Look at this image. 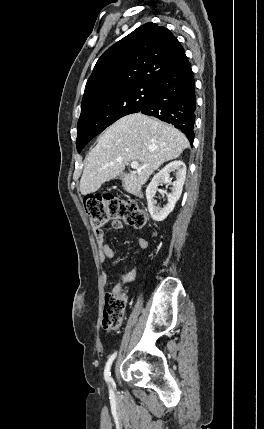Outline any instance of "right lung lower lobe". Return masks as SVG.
<instances>
[{
	"label": "right lung lower lobe",
	"instance_id": "obj_1",
	"mask_svg": "<svg viewBox=\"0 0 264 429\" xmlns=\"http://www.w3.org/2000/svg\"><path fill=\"white\" fill-rule=\"evenodd\" d=\"M195 109V81L184 55L158 80L152 95L139 112L173 124L193 144Z\"/></svg>",
	"mask_w": 264,
	"mask_h": 429
}]
</instances>
